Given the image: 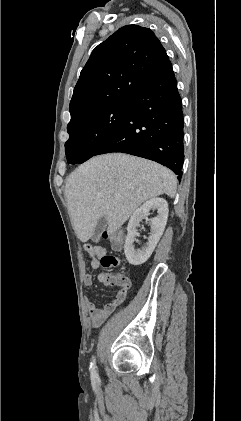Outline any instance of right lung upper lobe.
Masks as SVG:
<instances>
[{"label": "right lung upper lobe", "instance_id": "right-lung-upper-lobe-1", "mask_svg": "<svg viewBox=\"0 0 241 421\" xmlns=\"http://www.w3.org/2000/svg\"><path fill=\"white\" fill-rule=\"evenodd\" d=\"M167 60L164 47L150 29L136 25L120 28L93 50L82 69L69 106V124L129 100Z\"/></svg>", "mask_w": 241, "mask_h": 421}]
</instances>
